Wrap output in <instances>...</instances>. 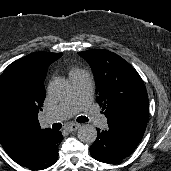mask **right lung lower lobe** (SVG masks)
Listing matches in <instances>:
<instances>
[{"label":"right lung lower lobe","instance_id":"obj_1","mask_svg":"<svg viewBox=\"0 0 171 171\" xmlns=\"http://www.w3.org/2000/svg\"><path fill=\"white\" fill-rule=\"evenodd\" d=\"M62 139L60 131L50 132L40 141L36 150L18 164L31 170H41L52 166L58 158V144Z\"/></svg>","mask_w":171,"mask_h":171}]
</instances>
